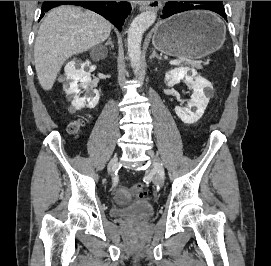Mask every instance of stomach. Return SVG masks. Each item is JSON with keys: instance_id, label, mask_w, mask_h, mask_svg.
I'll use <instances>...</instances> for the list:
<instances>
[{"instance_id": "0dacf381", "label": "stomach", "mask_w": 271, "mask_h": 266, "mask_svg": "<svg viewBox=\"0 0 271 266\" xmlns=\"http://www.w3.org/2000/svg\"><path fill=\"white\" fill-rule=\"evenodd\" d=\"M225 40V28L211 12L196 10L160 21L152 44L160 52L184 59H199L218 50Z\"/></svg>"}]
</instances>
